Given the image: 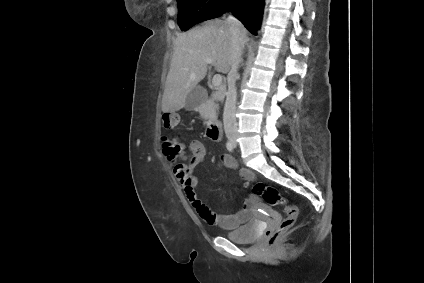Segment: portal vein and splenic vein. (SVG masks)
Returning <instances> with one entry per match:
<instances>
[{"label": "portal vein and splenic vein", "instance_id": "portal-vein-and-splenic-vein-1", "mask_svg": "<svg viewBox=\"0 0 424 283\" xmlns=\"http://www.w3.org/2000/svg\"><path fill=\"white\" fill-rule=\"evenodd\" d=\"M206 62L210 64L211 63V60L208 59ZM212 84H213L214 87L221 86V84H222V75L221 74H215L213 76V79H212Z\"/></svg>", "mask_w": 424, "mask_h": 283}]
</instances>
